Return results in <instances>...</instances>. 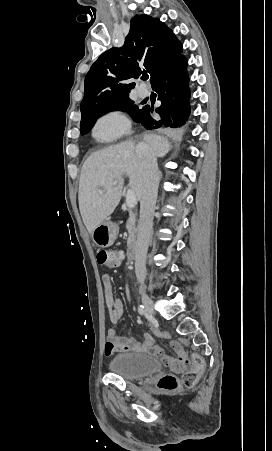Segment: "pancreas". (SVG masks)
I'll return each mask as SVG.
<instances>
[{
    "mask_svg": "<svg viewBox=\"0 0 272 451\" xmlns=\"http://www.w3.org/2000/svg\"><path fill=\"white\" fill-rule=\"evenodd\" d=\"M126 229L129 233L127 237V245L128 249L129 247H133L135 245L137 233H138V227L136 226V222L134 220V214H130L129 220L126 222Z\"/></svg>",
    "mask_w": 272,
    "mask_h": 451,
    "instance_id": "pancreas-1",
    "label": "pancreas"
}]
</instances>
